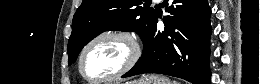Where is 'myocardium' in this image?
Listing matches in <instances>:
<instances>
[{
	"label": "myocardium",
	"instance_id": "f54148a6",
	"mask_svg": "<svg viewBox=\"0 0 260 84\" xmlns=\"http://www.w3.org/2000/svg\"><path fill=\"white\" fill-rule=\"evenodd\" d=\"M104 38H114L123 41L129 47L130 52L122 67L119 70H117L115 73L98 80H92L83 71V60L87 51L96 42ZM141 54H142V49H141L140 41L133 32L124 29L103 30L98 34H96L95 36H93L82 48L77 63L78 73L88 83L101 84V83L109 82L120 78L121 76L129 72L132 68H134L136 64L139 62L141 58Z\"/></svg>",
	"mask_w": 260,
	"mask_h": 84
}]
</instances>
